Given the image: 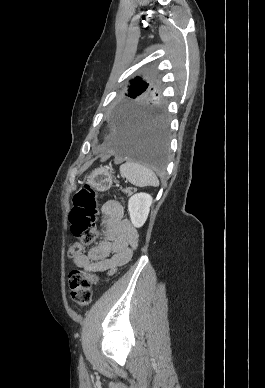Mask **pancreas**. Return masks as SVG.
Instances as JSON below:
<instances>
[{
    "instance_id": "cf45deb5",
    "label": "pancreas",
    "mask_w": 265,
    "mask_h": 388,
    "mask_svg": "<svg viewBox=\"0 0 265 388\" xmlns=\"http://www.w3.org/2000/svg\"><path fill=\"white\" fill-rule=\"evenodd\" d=\"M122 192H125V194H130L131 188H127V190H122Z\"/></svg>"
}]
</instances>
